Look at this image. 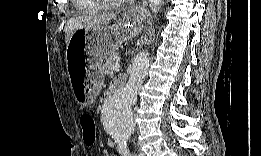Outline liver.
Returning a JSON list of instances; mask_svg holds the SVG:
<instances>
[{
	"mask_svg": "<svg viewBox=\"0 0 261 156\" xmlns=\"http://www.w3.org/2000/svg\"><path fill=\"white\" fill-rule=\"evenodd\" d=\"M111 20H116L115 13H96L70 18L65 26V42L69 44L72 34L80 29H93L99 27H107Z\"/></svg>",
	"mask_w": 261,
	"mask_h": 156,
	"instance_id": "1",
	"label": "liver"
}]
</instances>
